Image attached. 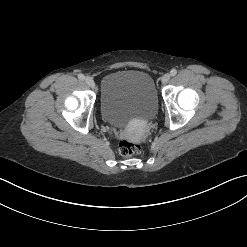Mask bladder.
<instances>
[{"mask_svg": "<svg viewBox=\"0 0 247 247\" xmlns=\"http://www.w3.org/2000/svg\"><path fill=\"white\" fill-rule=\"evenodd\" d=\"M103 120L125 129L136 120H151L158 110V94L151 76L126 70L106 75L100 82Z\"/></svg>", "mask_w": 247, "mask_h": 247, "instance_id": "obj_1", "label": "bladder"}]
</instances>
